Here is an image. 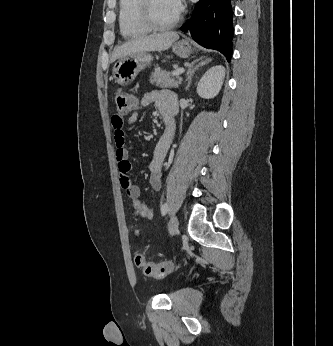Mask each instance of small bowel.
Listing matches in <instances>:
<instances>
[{"mask_svg": "<svg viewBox=\"0 0 333 346\" xmlns=\"http://www.w3.org/2000/svg\"><path fill=\"white\" fill-rule=\"evenodd\" d=\"M155 104L163 119H167L171 133L170 135H163L157 141L153 150V155L149 163L150 171V185L153 190L159 191L162 186V165L165 157L169 151L172 135L174 131L173 118L177 111V99L174 93L168 90H152L146 92L140 99L136 101V107H146ZM138 120V112L134 110L129 116L127 123L133 125ZM112 126L115 131L116 143V160L120 174V185L125 190L127 196L132 201L133 209L145 219H152L155 211L153 207L147 206L139 200L140 188L134 184L128 177L131 170L129 162V151L124 147L126 133L124 130V120L119 116H113Z\"/></svg>", "mask_w": 333, "mask_h": 346, "instance_id": "1", "label": "small bowel"}]
</instances>
